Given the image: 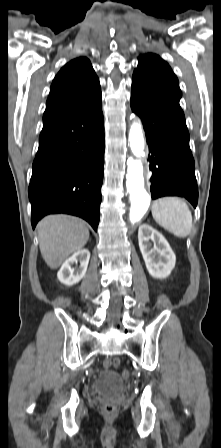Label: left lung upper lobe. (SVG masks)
<instances>
[{"label":"left lung upper lobe","mask_w":221,"mask_h":448,"mask_svg":"<svg viewBox=\"0 0 221 448\" xmlns=\"http://www.w3.org/2000/svg\"><path fill=\"white\" fill-rule=\"evenodd\" d=\"M138 59V67L132 77V89L168 106L184 117L179 105L182 97L179 82L170 66L152 53L141 55Z\"/></svg>","instance_id":"5c2ea615"}]
</instances>
